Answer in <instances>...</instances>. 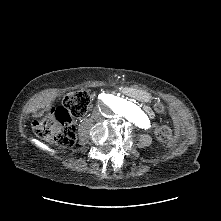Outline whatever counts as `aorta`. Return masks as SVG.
Segmentation results:
<instances>
[{"instance_id":"1","label":"aorta","mask_w":221,"mask_h":221,"mask_svg":"<svg viewBox=\"0 0 221 221\" xmlns=\"http://www.w3.org/2000/svg\"><path fill=\"white\" fill-rule=\"evenodd\" d=\"M107 109L110 114H119L137 127L146 128L149 126V120L142 109L127 100L112 99Z\"/></svg>"}]
</instances>
